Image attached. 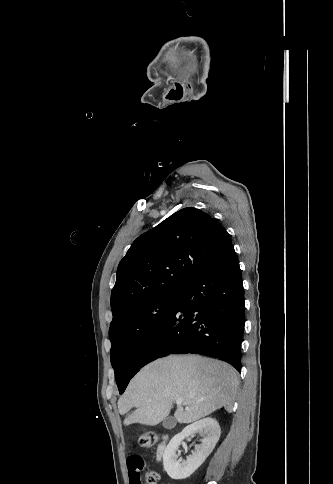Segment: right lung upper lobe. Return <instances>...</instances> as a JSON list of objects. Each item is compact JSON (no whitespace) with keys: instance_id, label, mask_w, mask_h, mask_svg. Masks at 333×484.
<instances>
[{"instance_id":"1","label":"right lung upper lobe","mask_w":333,"mask_h":484,"mask_svg":"<svg viewBox=\"0 0 333 484\" xmlns=\"http://www.w3.org/2000/svg\"><path fill=\"white\" fill-rule=\"evenodd\" d=\"M231 246L230 235L209 214L192 207L174 213L139 236L120 261L111 323L155 296L179 291Z\"/></svg>"}]
</instances>
